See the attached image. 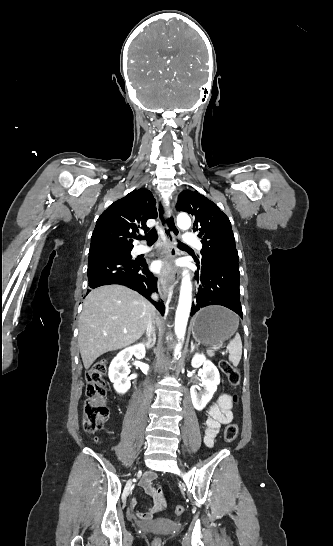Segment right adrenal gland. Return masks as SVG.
I'll list each match as a JSON object with an SVG mask.
<instances>
[{
    "label": "right adrenal gland",
    "mask_w": 333,
    "mask_h": 546,
    "mask_svg": "<svg viewBox=\"0 0 333 546\" xmlns=\"http://www.w3.org/2000/svg\"><path fill=\"white\" fill-rule=\"evenodd\" d=\"M155 342H156V335L153 334L152 339L146 341V343H145L146 348H147V349H150L151 347L154 346Z\"/></svg>",
    "instance_id": "1"
}]
</instances>
